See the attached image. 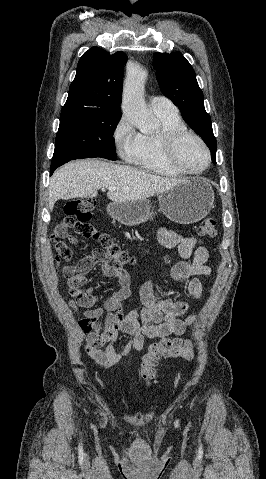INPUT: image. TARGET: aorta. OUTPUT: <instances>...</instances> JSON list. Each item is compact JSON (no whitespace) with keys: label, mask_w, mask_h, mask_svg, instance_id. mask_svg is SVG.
<instances>
[{"label":"aorta","mask_w":266,"mask_h":479,"mask_svg":"<svg viewBox=\"0 0 266 479\" xmlns=\"http://www.w3.org/2000/svg\"><path fill=\"white\" fill-rule=\"evenodd\" d=\"M146 71L138 64H130L123 88L122 112L127 120L140 131H155L159 121L147 108L144 100Z\"/></svg>","instance_id":"1"}]
</instances>
